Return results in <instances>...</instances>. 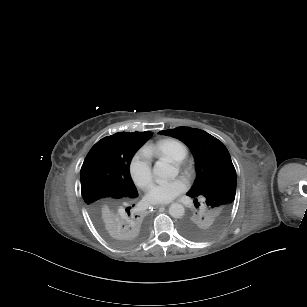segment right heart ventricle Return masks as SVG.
Here are the masks:
<instances>
[{
    "instance_id": "1",
    "label": "right heart ventricle",
    "mask_w": 307,
    "mask_h": 307,
    "mask_svg": "<svg viewBox=\"0 0 307 307\" xmlns=\"http://www.w3.org/2000/svg\"><path fill=\"white\" fill-rule=\"evenodd\" d=\"M190 145L179 138L169 137L163 142L158 154L166 155L176 161H181L190 153Z\"/></svg>"
}]
</instances>
